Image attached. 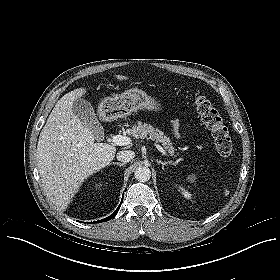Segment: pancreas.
Instances as JSON below:
<instances>
[{"label":"pancreas","instance_id":"obj_1","mask_svg":"<svg viewBox=\"0 0 280 280\" xmlns=\"http://www.w3.org/2000/svg\"><path fill=\"white\" fill-rule=\"evenodd\" d=\"M130 132L134 138H150L151 140L161 143L169 154L174 155L175 153V148L172 146L170 138L165 136L161 130L154 128L150 124L138 121L137 125H134L130 129Z\"/></svg>","mask_w":280,"mask_h":280}]
</instances>
